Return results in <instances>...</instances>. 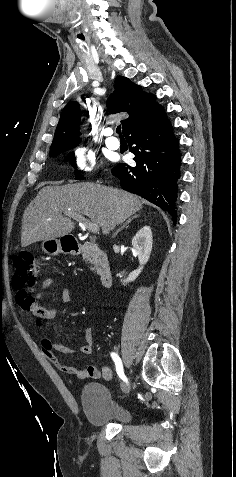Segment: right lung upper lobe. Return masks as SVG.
I'll use <instances>...</instances> for the list:
<instances>
[{
    "mask_svg": "<svg viewBox=\"0 0 236 477\" xmlns=\"http://www.w3.org/2000/svg\"><path fill=\"white\" fill-rule=\"evenodd\" d=\"M114 87L115 91L108 99V108L112 113L127 112L129 114L127 119L121 121L125 137L135 129L155 124L164 116V110L155 102V97L143 92L140 86L132 83L128 78L118 76ZM79 121V104L68 103L60 116L50 151L68 150L80 143L76 131Z\"/></svg>",
    "mask_w": 236,
    "mask_h": 477,
    "instance_id": "right-lung-upper-lobe-1",
    "label": "right lung upper lobe"
}]
</instances>
